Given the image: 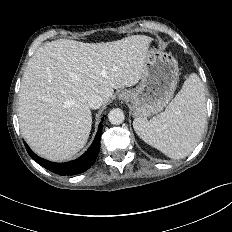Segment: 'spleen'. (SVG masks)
<instances>
[{"label": "spleen", "mask_w": 232, "mask_h": 232, "mask_svg": "<svg viewBox=\"0 0 232 232\" xmlns=\"http://www.w3.org/2000/svg\"><path fill=\"white\" fill-rule=\"evenodd\" d=\"M133 126L147 144L172 159L189 155L201 140L206 126L204 86L195 73L189 74L182 89L166 110L151 118H135Z\"/></svg>", "instance_id": "1"}]
</instances>
